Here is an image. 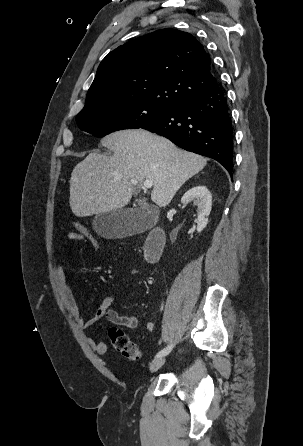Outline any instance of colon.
<instances>
[{
    "label": "colon",
    "mask_w": 303,
    "mask_h": 446,
    "mask_svg": "<svg viewBox=\"0 0 303 446\" xmlns=\"http://www.w3.org/2000/svg\"><path fill=\"white\" fill-rule=\"evenodd\" d=\"M74 232L80 236L89 238L92 240L95 250L98 249V242L89 234L88 230L80 222H73ZM109 341L111 345L117 350L123 357L128 360L136 361L141 356L140 348L137 344L132 342L125 331L117 327H111L108 330Z\"/></svg>",
    "instance_id": "1"
}]
</instances>
